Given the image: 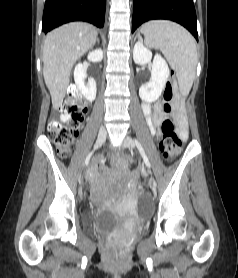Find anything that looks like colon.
I'll return each mask as SVG.
<instances>
[{
    "label": "colon",
    "instance_id": "obj_1",
    "mask_svg": "<svg viewBox=\"0 0 238 278\" xmlns=\"http://www.w3.org/2000/svg\"><path fill=\"white\" fill-rule=\"evenodd\" d=\"M174 87L172 80H168L164 85L163 109L165 113L172 111V101L174 99ZM88 107L86 101L76 88H71L64 98L61 111L69 116V121L62 124L53 121L48 127V136L56 147L60 157L66 158L71 150V146L78 135V128ZM181 150V139L174 129L171 120L166 119L162 123V138L160 141V151L166 160H170L179 154ZM111 162L116 167L128 168L130 161L116 155L111 156Z\"/></svg>",
    "mask_w": 238,
    "mask_h": 278
}]
</instances>
